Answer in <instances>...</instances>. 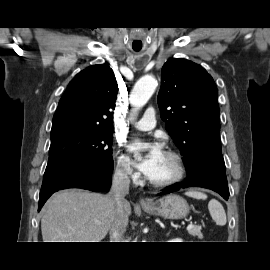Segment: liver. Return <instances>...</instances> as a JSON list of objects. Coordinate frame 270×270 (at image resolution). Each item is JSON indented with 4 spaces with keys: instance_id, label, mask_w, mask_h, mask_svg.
Returning a JSON list of instances; mask_svg holds the SVG:
<instances>
[{
    "instance_id": "6515ba94",
    "label": "liver",
    "mask_w": 270,
    "mask_h": 270,
    "mask_svg": "<svg viewBox=\"0 0 270 270\" xmlns=\"http://www.w3.org/2000/svg\"><path fill=\"white\" fill-rule=\"evenodd\" d=\"M125 213L131 215L127 201ZM115 218L112 196L80 190L54 194L43 208V242H101Z\"/></svg>"
}]
</instances>
